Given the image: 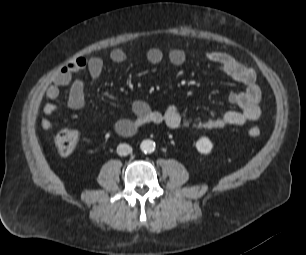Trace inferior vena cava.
<instances>
[{"mask_svg": "<svg viewBox=\"0 0 306 255\" xmlns=\"http://www.w3.org/2000/svg\"><path fill=\"white\" fill-rule=\"evenodd\" d=\"M132 152V147L128 144H119L117 147V154L120 156H127Z\"/></svg>", "mask_w": 306, "mask_h": 255, "instance_id": "inferior-vena-cava-1", "label": "inferior vena cava"}]
</instances>
